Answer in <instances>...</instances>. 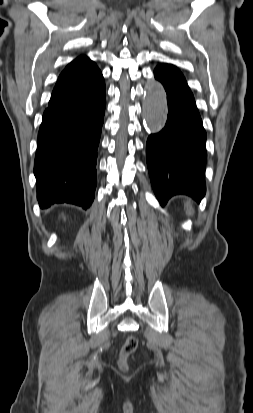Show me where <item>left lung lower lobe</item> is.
<instances>
[{"label": "left lung lower lobe", "mask_w": 253, "mask_h": 413, "mask_svg": "<svg viewBox=\"0 0 253 413\" xmlns=\"http://www.w3.org/2000/svg\"><path fill=\"white\" fill-rule=\"evenodd\" d=\"M154 76L165 88L168 117L165 127L147 139L153 190L162 206L176 194L200 202L206 192V132L193 94L182 73L171 64L158 65Z\"/></svg>", "instance_id": "obj_1"}]
</instances>
